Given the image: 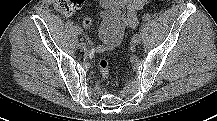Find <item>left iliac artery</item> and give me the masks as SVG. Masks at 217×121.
Here are the masks:
<instances>
[{"mask_svg":"<svg viewBox=\"0 0 217 121\" xmlns=\"http://www.w3.org/2000/svg\"><path fill=\"white\" fill-rule=\"evenodd\" d=\"M150 19H151V17H150L149 14H144V15H143V20H144L145 22H148Z\"/></svg>","mask_w":217,"mask_h":121,"instance_id":"44dca946","label":"left iliac artery"}]
</instances>
